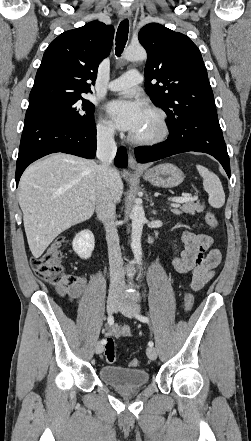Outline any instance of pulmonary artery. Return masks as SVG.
I'll use <instances>...</instances> for the list:
<instances>
[{
  "mask_svg": "<svg viewBox=\"0 0 251 441\" xmlns=\"http://www.w3.org/2000/svg\"><path fill=\"white\" fill-rule=\"evenodd\" d=\"M142 80L143 77L140 72L137 70H130L119 78L111 81L108 88L111 91H126L140 84Z\"/></svg>",
  "mask_w": 251,
  "mask_h": 441,
  "instance_id": "1",
  "label": "pulmonary artery"
}]
</instances>
